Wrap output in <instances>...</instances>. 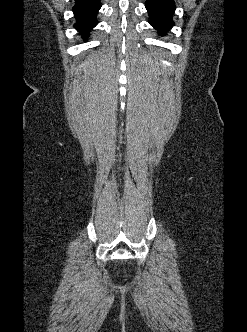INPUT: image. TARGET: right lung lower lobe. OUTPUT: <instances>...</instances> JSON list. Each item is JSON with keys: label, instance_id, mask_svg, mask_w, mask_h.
I'll return each mask as SVG.
<instances>
[{"label": "right lung lower lobe", "instance_id": "98d812e1", "mask_svg": "<svg viewBox=\"0 0 247 332\" xmlns=\"http://www.w3.org/2000/svg\"><path fill=\"white\" fill-rule=\"evenodd\" d=\"M100 7V0H75L73 13L76 23L74 28L82 34L84 39L88 37L90 30L97 25L96 16Z\"/></svg>", "mask_w": 247, "mask_h": 332}]
</instances>
